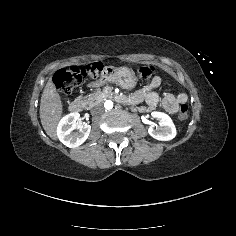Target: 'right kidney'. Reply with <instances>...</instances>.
<instances>
[{"mask_svg": "<svg viewBox=\"0 0 236 236\" xmlns=\"http://www.w3.org/2000/svg\"><path fill=\"white\" fill-rule=\"evenodd\" d=\"M78 119L79 114L72 113L65 116L58 125V137L69 148L81 146L90 135L91 125L79 124L77 123Z\"/></svg>", "mask_w": 236, "mask_h": 236, "instance_id": "ca27d5eb", "label": "right kidney"}]
</instances>
